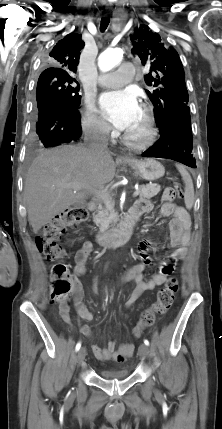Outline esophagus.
Segmentation results:
<instances>
[{
	"instance_id": "1",
	"label": "esophagus",
	"mask_w": 222,
	"mask_h": 429,
	"mask_svg": "<svg viewBox=\"0 0 222 429\" xmlns=\"http://www.w3.org/2000/svg\"><path fill=\"white\" fill-rule=\"evenodd\" d=\"M122 158H124V159H129V158H130V156H129L128 154H125V153H124V154L122 155Z\"/></svg>"
}]
</instances>
